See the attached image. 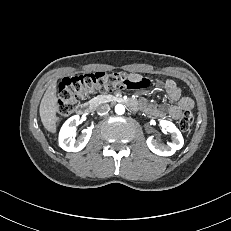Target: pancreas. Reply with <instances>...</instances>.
<instances>
[{
  "label": "pancreas",
  "mask_w": 231,
  "mask_h": 231,
  "mask_svg": "<svg viewBox=\"0 0 231 231\" xmlns=\"http://www.w3.org/2000/svg\"><path fill=\"white\" fill-rule=\"evenodd\" d=\"M110 96H101L98 98V100H101V101H106L109 99Z\"/></svg>",
  "instance_id": "cf45deb5"
}]
</instances>
